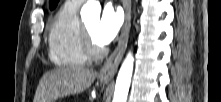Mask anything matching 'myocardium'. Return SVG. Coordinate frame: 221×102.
Listing matches in <instances>:
<instances>
[{"label":"myocardium","mask_w":221,"mask_h":102,"mask_svg":"<svg viewBox=\"0 0 221 102\" xmlns=\"http://www.w3.org/2000/svg\"><path fill=\"white\" fill-rule=\"evenodd\" d=\"M81 36H82V45L83 50L87 58L96 60L103 56L105 49L97 42H95L86 28L85 24L82 23L81 26Z\"/></svg>","instance_id":"myocardium-1"}]
</instances>
